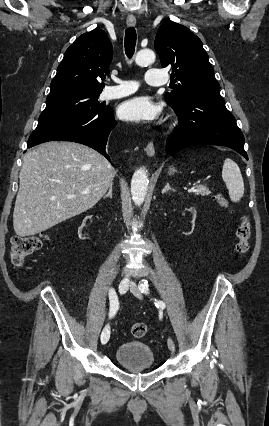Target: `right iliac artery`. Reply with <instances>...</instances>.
Returning a JSON list of instances; mask_svg holds the SVG:
<instances>
[{"instance_id": "right-iliac-artery-1", "label": "right iliac artery", "mask_w": 269, "mask_h": 426, "mask_svg": "<svg viewBox=\"0 0 269 426\" xmlns=\"http://www.w3.org/2000/svg\"><path fill=\"white\" fill-rule=\"evenodd\" d=\"M109 300H110L109 317H113L119 309L118 297L113 288L109 290Z\"/></svg>"}]
</instances>
